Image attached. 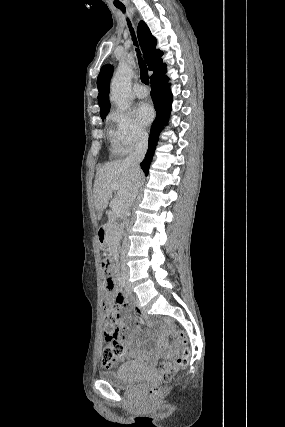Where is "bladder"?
I'll list each match as a JSON object with an SVG mask.
<instances>
[{"label": "bladder", "instance_id": "bladder-1", "mask_svg": "<svg viewBox=\"0 0 285 427\" xmlns=\"http://www.w3.org/2000/svg\"><path fill=\"white\" fill-rule=\"evenodd\" d=\"M150 370L136 363H122L116 369L102 370L99 377L112 386L130 388L149 377Z\"/></svg>", "mask_w": 285, "mask_h": 427}]
</instances>
